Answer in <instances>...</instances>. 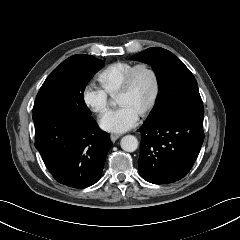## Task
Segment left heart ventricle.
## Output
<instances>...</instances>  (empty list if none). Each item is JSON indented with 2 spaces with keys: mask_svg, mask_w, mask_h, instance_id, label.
Returning <instances> with one entry per match:
<instances>
[{
  "mask_svg": "<svg viewBox=\"0 0 240 240\" xmlns=\"http://www.w3.org/2000/svg\"><path fill=\"white\" fill-rule=\"evenodd\" d=\"M154 93V80L146 70H139L135 74L130 92L117 97L120 106H127L138 115L146 108Z\"/></svg>",
  "mask_w": 240,
  "mask_h": 240,
  "instance_id": "obj_1",
  "label": "left heart ventricle"
}]
</instances>
